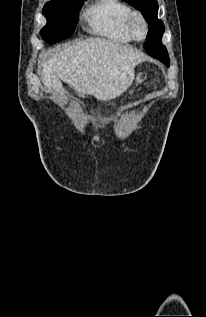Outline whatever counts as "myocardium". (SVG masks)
<instances>
[{"instance_id": "f54148a6", "label": "myocardium", "mask_w": 206, "mask_h": 317, "mask_svg": "<svg viewBox=\"0 0 206 317\" xmlns=\"http://www.w3.org/2000/svg\"><path fill=\"white\" fill-rule=\"evenodd\" d=\"M136 22H140L143 26V35L139 36L136 33L135 30V23ZM126 27H127V31L129 33V35L132 37V39L136 40V41H142L147 37L148 34V22L145 18V16L143 15L142 12L138 11V10H134L132 11L128 18H127V23H126Z\"/></svg>"}]
</instances>
